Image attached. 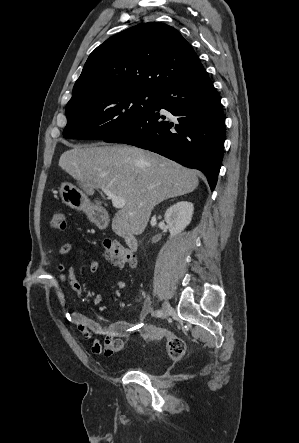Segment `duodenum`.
<instances>
[{"instance_id": "obj_1", "label": "duodenum", "mask_w": 299, "mask_h": 443, "mask_svg": "<svg viewBox=\"0 0 299 443\" xmlns=\"http://www.w3.org/2000/svg\"><path fill=\"white\" fill-rule=\"evenodd\" d=\"M99 224H103V222L99 220ZM111 225L114 231L124 238L125 242L132 250H136L138 248V240L136 236L122 223L117 220H112Z\"/></svg>"}]
</instances>
